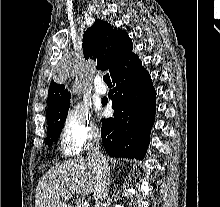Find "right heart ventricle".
Segmentation results:
<instances>
[{
    "instance_id": "e07e8e85",
    "label": "right heart ventricle",
    "mask_w": 220,
    "mask_h": 207,
    "mask_svg": "<svg viewBox=\"0 0 220 207\" xmlns=\"http://www.w3.org/2000/svg\"><path fill=\"white\" fill-rule=\"evenodd\" d=\"M63 153H64V155H66V156H73V155L76 154V153H74V152L64 151V150H63Z\"/></svg>"
}]
</instances>
